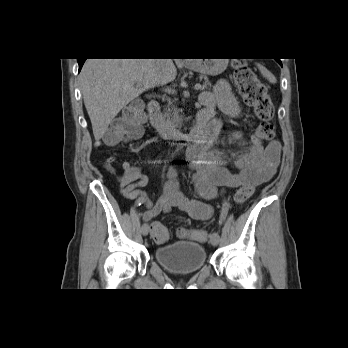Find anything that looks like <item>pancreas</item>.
Wrapping results in <instances>:
<instances>
[{
  "instance_id": "pancreas-1",
  "label": "pancreas",
  "mask_w": 348,
  "mask_h": 348,
  "mask_svg": "<svg viewBox=\"0 0 348 348\" xmlns=\"http://www.w3.org/2000/svg\"><path fill=\"white\" fill-rule=\"evenodd\" d=\"M200 79H204L202 89L210 90L212 85H211V82L209 81V79L204 75H201ZM181 112H182V110L177 107L176 103L169 101L168 106L166 107L165 112H164V117L166 118V121L169 124H171L173 126H179V125H181V123L183 121V116L180 114Z\"/></svg>"
}]
</instances>
